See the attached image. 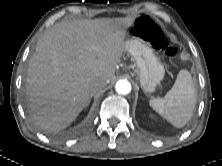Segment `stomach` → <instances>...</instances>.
<instances>
[{
	"label": "stomach",
	"mask_w": 222,
	"mask_h": 166,
	"mask_svg": "<svg viewBox=\"0 0 222 166\" xmlns=\"http://www.w3.org/2000/svg\"><path fill=\"white\" fill-rule=\"evenodd\" d=\"M127 52L136 64V73L141 88L145 93H152L164 78L165 69L154 54L153 49L142 38L132 37L127 40Z\"/></svg>",
	"instance_id": "obj_1"
}]
</instances>
